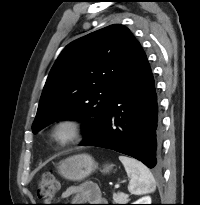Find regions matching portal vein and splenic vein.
Wrapping results in <instances>:
<instances>
[{
	"label": "portal vein and splenic vein",
	"mask_w": 200,
	"mask_h": 205,
	"mask_svg": "<svg viewBox=\"0 0 200 205\" xmlns=\"http://www.w3.org/2000/svg\"><path fill=\"white\" fill-rule=\"evenodd\" d=\"M119 186H120V184H116V185H115V188H119Z\"/></svg>",
	"instance_id": "18ae733b"
}]
</instances>
